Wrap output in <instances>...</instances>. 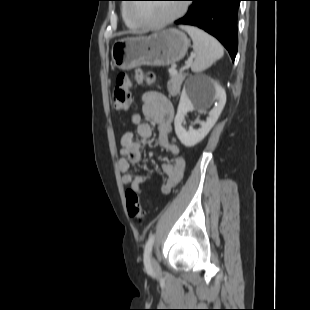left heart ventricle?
<instances>
[{
    "instance_id": "obj_1",
    "label": "left heart ventricle",
    "mask_w": 310,
    "mask_h": 310,
    "mask_svg": "<svg viewBox=\"0 0 310 310\" xmlns=\"http://www.w3.org/2000/svg\"><path fill=\"white\" fill-rule=\"evenodd\" d=\"M180 5L168 3L137 4L131 8L132 15L148 22H161L179 10Z\"/></svg>"
}]
</instances>
